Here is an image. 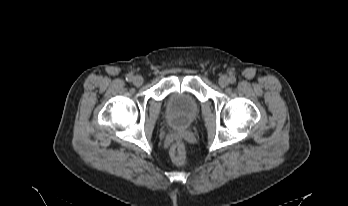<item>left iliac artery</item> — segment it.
<instances>
[{
	"label": "left iliac artery",
	"instance_id": "1",
	"mask_svg": "<svg viewBox=\"0 0 348 206\" xmlns=\"http://www.w3.org/2000/svg\"><path fill=\"white\" fill-rule=\"evenodd\" d=\"M229 82H230L231 84L235 83V82H236V78H235L234 76H231V77L229 78Z\"/></svg>",
	"mask_w": 348,
	"mask_h": 206
}]
</instances>
